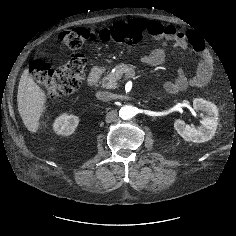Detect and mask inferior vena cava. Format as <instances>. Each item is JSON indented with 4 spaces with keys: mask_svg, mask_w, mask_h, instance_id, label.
I'll return each mask as SVG.
<instances>
[{
    "mask_svg": "<svg viewBox=\"0 0 236 236\" xmlns=\"http://www.w3.org/2000/svg\"><path fill=\"white\" fill-rule=\"evenodd\" d=\"M96 97L101 101H110L113 99V94L107 91L97 92Z\"/></svg>",
    "mask_w": 236,
    "mask_h": 236,
    "instance_id": "602c4592",
    "label": "inferior vena cava"
}]
</instances>
